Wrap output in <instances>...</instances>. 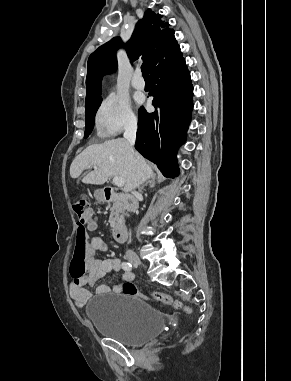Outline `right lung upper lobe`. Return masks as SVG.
<instances>
[{"instance_id":"cb5924a9","label":"right lung upper lobe","mask_w":291,"mask_h":381,"mask_svg":"<svg viewBox=\"0 0 291 381\" xmlns=\"http://www.w3.org/2000/svg\"><path fill=\"white\" fill-rule=\"evenodd\" d=\"M123 46L121 38L114 37L90 55L87 63L86 104L101 97L102 77L115 70L116 50ZM125 48L131 62L142 59L150 73L180 50L174 30L162 20L160 14L151 10H147L138 22Z\"/></svg>"}]
</instances>
